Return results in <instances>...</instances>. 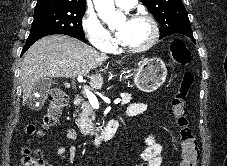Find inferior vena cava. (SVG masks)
I'll return each mask as SVG.
<instances>
[{
	"instance_id": "obj_1",
	"label": "inferior vena cava",
	"mask_w": 227,
	"mask_h": 166,
	"mask_svg": "<svg viewBox=\"0 0 227 166\" xmlns=\"http://www.w3.org/2000/svg\"><path fill=\"white\" fill-rule=\"evenodd\" d=\"M101 57L106 58V54L104 53V51H101Z\"/></svg>"
}]
</instances>
